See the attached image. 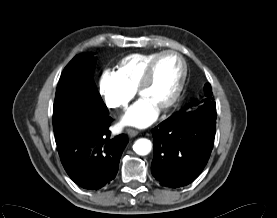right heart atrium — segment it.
<instances>
[{
  "label": "right heart atrium",
  "mask_w": 277,
  "mask_h": 218,
  "mask_svg": "<svg viewBox=\"0 0 277 218\" xmlns=\"http://www.w3.org/2000/svg\"><path fill=\"white\" fill-rule=\"evenodd\" d=\"M99 92L109 108H125L136 94V89L127 84L118 72L105 69L99 79Z\"/></svg>",
  "instance_id": "obj_1"
}]
</instances>
